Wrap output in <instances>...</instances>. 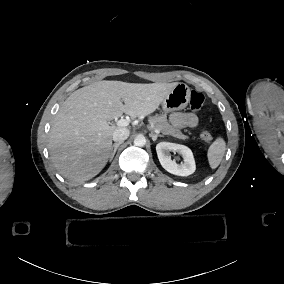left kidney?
Instances as JSON below:
<instances>
[{
  "label": "left kidney",
  "instance_id": "5707ae66",
  "mask_svg": "<svg viewBox=\"0 0 284 284\" xmlns=\"http://www.w3.org/2000/svg\"><path fill=\"white\" fill-rule=\"evenodd\" d=\"M156 151L162 167L169 173L178 176H188L195 172L196 165L193 153L187 146L170 142H160L156 146ZM170 151L179 152L184 162L177 164L175 160H171Z\"/></svg>",
  "mask_w": 284,
  "mask_h": 284
}]
</instances>
